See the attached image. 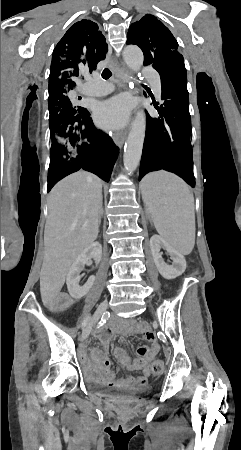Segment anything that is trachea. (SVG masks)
<instances>
[{
	"label": "trachea",
	"instance_id": "trachea-1",
	"mask_svg": "<svg viewBox=\"0 0 241 450\" xmlns=\"http://www.w3.org/2000/svg\"><path fill=\"white\" fill-rule=\"evenodd\" d=\"M112 75L111 71L109 70V68H105L102 72V78H104L105 80H107L108 78H110Z\"/></svg>",
	"mask_w": 241,
	"mask_h": 450
}]
</instances>
